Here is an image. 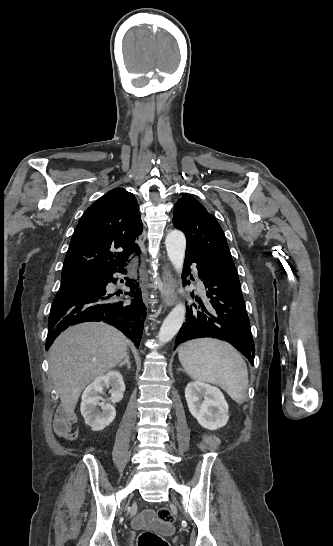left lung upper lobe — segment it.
Masks as SVG:
<instances>
[{
  "label": "left lung upper lobe",
  "mask_w": 333,
  "mask_h": 546,
  "mask_svg": "<svg viewBox=\"0 0 333 546\" xmlns=\"http://www.w3.org/2000/svg\"><path fill=\"white\" fill-rule=\"evenodd\" d=\"M173 225L184 232L186 250L215 269L236 270L222 228L195 198L185 195L177 201Z\"/></svg>",
  "instance_id": "5c2ea615"
}]
</instances>
